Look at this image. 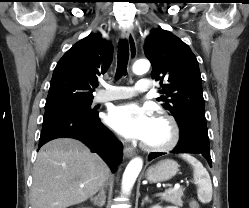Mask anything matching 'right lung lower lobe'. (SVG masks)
<instances>
[{
	"mask_svg": "<svg viewBox=\"0 0 249 208\" xmlns=\"http://www.w3.org/2000/svg\"><path fill=\"white\" fill-rule=\"evenodd\" d=\"M70 137L82 141L116 171L123 156V145L99 119L76 112L51 110L45 112L38 149L50 140Z\"/></svg>",
	"mask_w": 249,
	"mask_h": 208,
	"instance_id": "1",
	"label": "right lung lower lobe"
}]
</instances>
